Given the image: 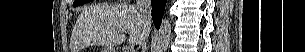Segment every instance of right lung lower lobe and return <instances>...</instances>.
Returning <instances> with one entry per match:
<instances>
[{"mask_svg": "<svg viewBox=\"0 0 305 52\" xmlns=\"http://www.w3.org/2000/svg\"><path fill=\"white\" fill-rule=\"evenodd\" d=\"M166 1L167 0L152 1V19L157 29L160 27L162 21V15L164 13Z\"/></svg>", "mask_w": 305, "mask_h": 52, "instance_id": "right-lung-lower-lobe-1", "label": "right lung lower lobe"}]
</instances>
